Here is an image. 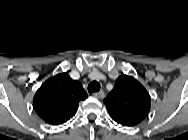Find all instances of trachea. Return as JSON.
Here are the masks:
<instances>
[{
    "label": "trachea",
    "mask_w": 188,
    "mask_h": 140,
    "mask_svg": "<svg viewBox=\"0 0 188 140\" xmlns=\"http://www.w3.org/2000/svg\"><path fill=\"white\" fill-rule=\"evenodd\" d=\"M100 90V84L97 81H93L88 85L89 92H97Z\"/></svg>",
    "instance_id": "obj_1"
}]
</instances>
